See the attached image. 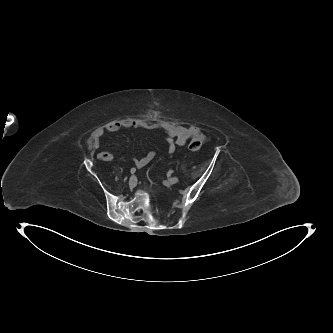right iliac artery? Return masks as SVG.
<instances>
[{"label":"right iliac artery","instance_id":"obj_1","mask_svg":"<svg viewBox=\"0 0 333 333\" xmlns=\"http://www.w3.org/2000/svg\"><path fill=\"white\" fill-rule=\"evenodd\" d=\"M135 172H136V168L135 167L131 168L130 173L134 174Z\"/></svg>","mask_w":333,"mask_h":333}]
</instances>
